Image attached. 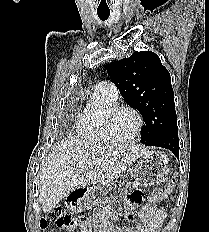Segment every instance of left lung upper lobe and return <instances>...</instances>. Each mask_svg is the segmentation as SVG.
I'll list each match as a JSON object with an SVG mask.
<instances>
[{"instance_id": "1", "label": "left lung upper lobe", "mask_w": 209, "mask_h": 232, "mask_svg": "<svg viewBox=\"0 0 209 232\" xmlns=\"http://www.w3.org/2000/svg\"><path fill=\"white\" fill-rule=\"evenodd\" d=\"M110 80L126 103L136 108L145 120L141 141L147 146L164 133L177 130L171 77L153 52H134L129 58L106 65Z\"/></svg>"}]
</instances>
